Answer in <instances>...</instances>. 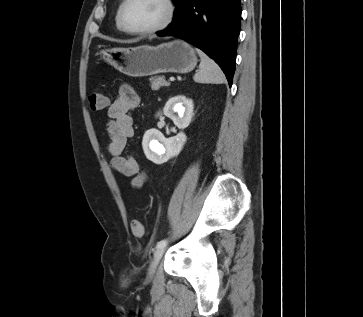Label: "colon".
I'll return each mask as SVG.
<instances>
[{"instance_id":"5ec220e1","label":"colon","mask_w":363,"mask_h":317,"mask_svg":"<svg viewBox=\"0 0 363 317\" xmlns=\"http://www.w3.org/2000/svg\"><path fill=\"white\" fill-rule=\"evenodd\" d=\"M89 104H90V108L93 111H101L107 107L108 98L105 94H103L101 92H94V93L90 94V96H89ZM131 229L135 236L144 235L143 225L136 220L132 221Z\"/></svg>"}]
</instances>
